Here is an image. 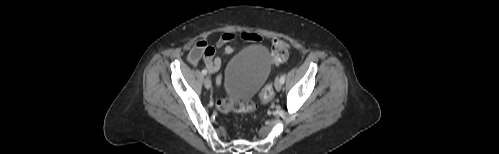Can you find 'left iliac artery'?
<instances>
[{
	"label": "left iliac artery",
	"instance_id": "44dca946",
	"mask_svg": "<svg viewBox=\"0 0 499 154\" xmlns=\"http://www.w3.org/2000/svg\"><path fill=\"white\" fill-rule=\"evenodd\" d=\"M280 81H281L282 84L285 82V75H281Z\"/></svg>",
	"mask_w": 499,
	"mask_h": 154
}]
</instances>
